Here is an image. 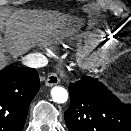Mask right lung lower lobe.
<instances>
[{
  "mask_svg": "<svg viewBox=\"0 0 131 131\" xmlns=\"http://www.w3.org/2000/svg\"><path fill=\"white\" fill-rule=\"evenodd\" d=\"M39 88V76L33 68L9 65L0 71V131L23 130Z\"/></svg>",
  "mask_w": 131,
  "mask_h": 131,
  "instance_id": "1",
  "label": "right lung lower lobe"
}]
</instances>
